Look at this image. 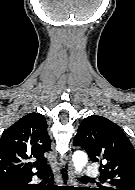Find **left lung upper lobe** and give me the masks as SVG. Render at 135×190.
<instances>
[{
    "label": "left lung upper lobe",
    "mask_w": 135,
    "mask_h": 190,
    "mask_svg": "<svg viewBox=\"0 0 135 190\" xmlns=\"http://www.w3.org/2000/svg\"><path fill=\"white\" fill-rule=\"evenodd\" d=\"M73 143L84 148L93 162H100L99 179L107 186L98 190H135V149L118 125L105 117L89 116Z\"/></svg>",
    "instance_id": "5c2ea615"
}]
</instances>
